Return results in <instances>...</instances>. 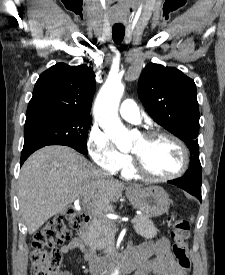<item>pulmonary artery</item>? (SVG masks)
<instances>
[{
  "instance_id": "pulmonary-artery-1",
  "label": "pulmonary artery",
  "mask_w": 225,
  "mask_h": 275,
  "mask_svg": "<svg viewBox=\"0 0 225 275\" xmlns=\"http://www.w3.org/2000/svg\"><path fill=\"white\" fill-rule=\"evenodd\" d=\"M119 113L122 118L129 122L139 123L141 121L137 103L131 98H127L121 103Z\"/></svg>"
}]
</instances>
